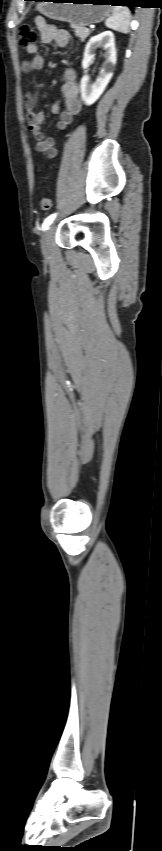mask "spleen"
Instances as JSON below:
<instances>
[{"mask_svg":"<svg viewBox=\"0 0 162 851\" xmlns=\"http://www.w3.org/2000/svg\"><path fill=\"white\" fill-rule=\"evenodd\" d=\"M106 27L121 33L129 32L130 11L127 7H113L112 15L105 21Z\"/></svg>","mask_w":162,"mask_h":851,"instance_id":"3e777b00","label":"spleen"}]
</instances>
